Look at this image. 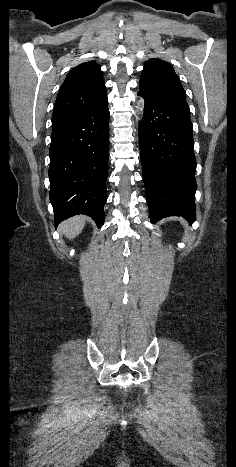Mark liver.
Instances as JSON below:
<instances>
[{
    "mask_svg": "<svg viewBox=\"0 0 236 467\" xmlns=\"http://www.w3.org/2000/svg\"><path fill=\"white\" fill-rule=\"evenodd\" d=\"M84 226L85 218L83 216H75L62 222L60 230L68 239H74L82 232Z\"/></svg>",
    "mask_w": 236,
    "mask_h": 467,
    "instance_id": "1",
    "label": "liver"
}]
</instances>
